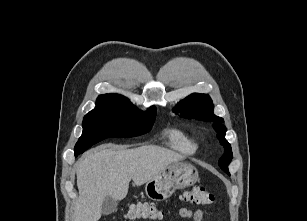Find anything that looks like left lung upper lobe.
Listing matches in <instances>:
<instances>
[{"instance_id":"1","label":"left lung upper lobe","mask_w":307,"mask_h":221,"mask_svg":"<svg viewBox=\"0 0 307 221\" xmlns=\"http://www.w3.org/2000/svg\"><path fill=\"white\" fill-rule=\"evenodd\" d=\"M177 108L181 116L186 118H195L209 122H215L214 127L218 132L217 136L220 143L224 146V155L220 158L218 164L228 175V165L232 160V150L230 144L225 139L226 128L221 122L223 118L214 115L213 102L208 95L193 93L178 103Z\"/></svg>"}]
</instances>
